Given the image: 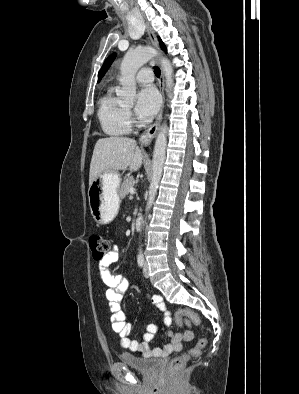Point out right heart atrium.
<instances>
[{
  "mask_svg": "<svg viewBox=\"0 0 299 394\" xmlns=\"http://www.w3.org/2000/svg\"><path fill=\"white\" fill-rule=\"evenodd\" d=\"M127 118H128V120H129V122L132 121V113H131L130 110H127Z\"/></svg>",
  "mask_w": 299,
  "mask_h": 394,
  "instance_id": "obj_1",
  "label": "right heart atrium"
}]
</instances>
